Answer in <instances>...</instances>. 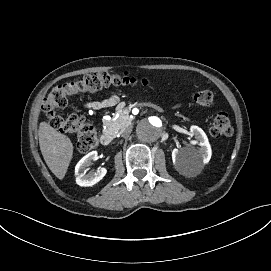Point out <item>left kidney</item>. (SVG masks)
<instances>
[{"instance_id": "obj_1", "label": "left kidney", "mask_w": 271, "mask_h": 271, "mask_svg": "<svg viewBox=\"0 0 271 271\" xmlns=\"http://www.w3.org/2000/svg\"><path fill=\"white\" fill-rule=\"evenodd\" d=\"M191 131L198 137L201 148H193V151L190 152H186L183 149H174L172 152L174 167L183 175H190L202 163H208L212 156L211 145L203 129L192 125Z\"/></svg>"}]
</instances>
